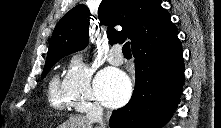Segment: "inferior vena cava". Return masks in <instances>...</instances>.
I'll return each mask as SVG.
<instances>
[{
	"mask_svg": "<svg viewBox=\"0 0 221 128\" xmlns=\"http://www.w3.org/2000/svg\"><path fill=\"white\" fill-rule=\"evenodd\" d=\"M102 115H103V108L99 104L94 103L91 106H89L86 118L91 122L99 123L100 128H105Z\"/></svg>",
	"mask_w": 221,
	"mask_h": 128,
	"instance_id": "1",
	"label": "inferior vena cava"
}]
</instances>
